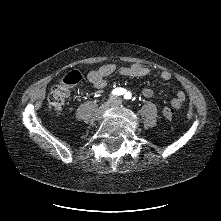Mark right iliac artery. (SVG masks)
<instances>
[{
  "mask_svg": "<svg viewBox=\"0 0 221 221\" xmlns=\"http://www.w3.org/2000/svg\"><path fill=\"white\" fill-rule=\"evenodd\" d=\"M124 92H125V89H123V88H116V89L113 90L112 93L114 95H122V94H124Z\"/></svg>",
  "mask_w": 221,
  "mask_h": 221,
  "instance_id": "1",
  "label": "right iliac artery"
}]
</instances>
